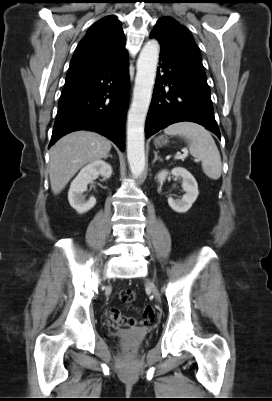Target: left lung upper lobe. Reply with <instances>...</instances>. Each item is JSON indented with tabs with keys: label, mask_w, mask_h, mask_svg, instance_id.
<instances>
[{
	"label": "left lung upper lobe",
	"mask_w": 272,
	"mask_h": 401,
	"mask_svg": "<svg viewBox=\"0 0 272 401\" xmlns=\"http://www.w3.org/2000/svg\"><path fill=\"white\" fill-rule=\"evenodd\" d=\"M150 36L159 40L162 49L203 66L199 49L190 31L175 19L160 18Z\"/></svg>",
	"instance_id": "left-lung-upper-lobe-1"
}]
</instances>
